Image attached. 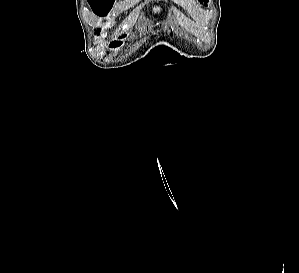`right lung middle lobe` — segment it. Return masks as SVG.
I'll list each match as a JSON object with an SVG mask.
<instances>
[{"label":"right lung middle lobe","mask_w":299,"mask_h":273,"mask_svg":"<svg viewBox=\"0 0 299 273\" xmlns=\"http://www.w3.org/2000/svg\"><path fill=\"white\" fill-rule=\"evenodd\" d=\"M93 12L98 16H106L111 10L114 0H88ZM98 33L100 29L97 30Z\"/></svg>","instance_id":"obj_1"}]
</instances>
